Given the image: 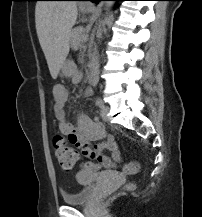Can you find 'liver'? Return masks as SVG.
Wrapping results in <instances>:
<instances>
[{"label":"liver","mask_w":202,"mask_h":217,"mask_svg":"<svg viewBox=\"0 0 202 217\" xmlns=\"http://www.w3.org/2000/svg\"><path fill=\"white\" fill-rule=\"evenodd\" d=\"M77 14L74 1H39L36 4V31L53 79L57 78L68 56L71 29Z\"/></svg>","instance_id":"6515ba94"}]
</instances>
